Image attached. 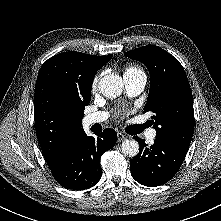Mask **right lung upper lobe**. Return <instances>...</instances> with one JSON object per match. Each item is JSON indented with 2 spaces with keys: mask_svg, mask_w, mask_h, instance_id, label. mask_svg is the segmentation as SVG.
<instances>
[{
  "mask_svg": "<svg viewBox=\"0 0 221 221\" xmlns=\"http://www.w3.org/2000/svg\"><path fill=\"white\" fill-rule=\"evenodd\" d=\"M81 52H64L45 61L34 94L38 140L48 165L56 163L84 131L81 119L96 72L110 59Z\"/></svg>",
  "mask_w": 221,
  "mask_h": 221,
  "instance_id": "cb5924a9",
  "label": "right lung upper lobe"
}]
</instances>
